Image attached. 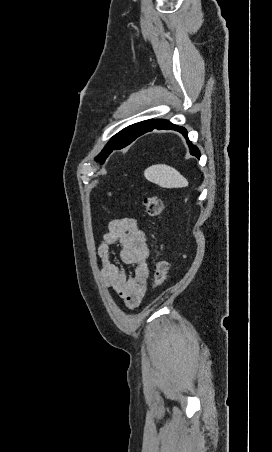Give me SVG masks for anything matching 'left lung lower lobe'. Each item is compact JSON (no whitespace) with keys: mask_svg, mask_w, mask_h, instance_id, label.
I'll return each mask as SVG.
<instances>
[{"mask_svg":"<svg viewBox=\"0 0 272 452\" xmlns=\"http://www.w3.org/2000/svg\"><path fill=\"white\" fill-rule=\"evenodd\" d=\"M154 129H158V130H162V129L175 130V131L180 132L187 139V143H188V146H189V149H190V154L195 156V157H197V158H200V151L195 145H193L188 140L187 131L185 130V128L177 126V125H174V124H172L169 121L161 120V119L154 120L152 122V124L148 128L142 130L141 132H139L137 135L133 136L130 139H126L125 140V138H123V137L116 139V141H114L112 143V145L110 146V153L113 150L124 148L125 146H127L131 142H133L137 137H139V136H141V135H143V134H145L147 132H150V131H152Z\"/></svg>","mask_w":272,"mask_h":452,"instance_id":"1","label":"left lung lower lobe"}]
</instances>
